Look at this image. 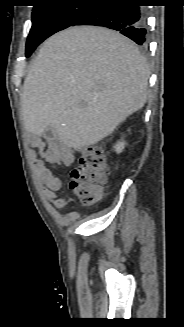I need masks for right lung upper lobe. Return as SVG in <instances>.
Wrapping results in <instances>:
<instances>
[{"label":"right lung upper lobe","instance_id":"1","mask_svg":"<svg viewBox=\"0 0 184 327\" xmlns=\"http://www.w3.org/2000/svg\"><path fill=\"white\" fill-rule=\"evenodd\" d=\"M39 3H43V2H48V1H53V0H37Z\"/></svg>","mask_w":184,"mask_h":327}]
</instances>
